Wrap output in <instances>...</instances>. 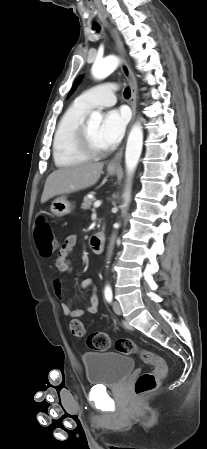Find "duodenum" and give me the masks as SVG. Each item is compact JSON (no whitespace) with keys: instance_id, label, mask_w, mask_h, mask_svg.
Returning a JSON list of instances; mask_svg holds the SVG:
<instances>
[{"instance_id":"410a0bca","label":"duodenum","mask_w":207,"mask_h":449,"mask_svg":"<svg viewBox=\"0 0 207 449\" xmlns=\"http://www.w3.org/2000/svg\"><path fill=\"white\" fill-rule=\"evenodd\" d=\"M105 244V235L103 231H100L90 238V246L94 253H101Z\"/></svg>"}]
</instances>
